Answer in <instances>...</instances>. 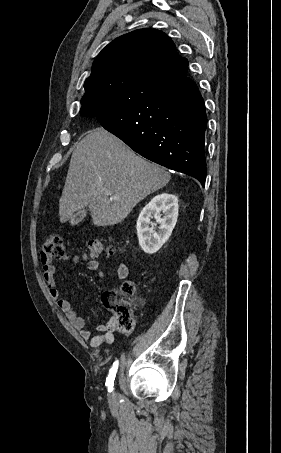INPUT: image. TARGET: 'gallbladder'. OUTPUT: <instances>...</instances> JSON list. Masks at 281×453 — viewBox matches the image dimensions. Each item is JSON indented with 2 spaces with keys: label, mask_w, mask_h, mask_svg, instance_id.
Masks as SVG:
<instances>
[{
  "label": "gallbladder",
  "mask_w": 281,
  "mask_h": 453,
  "mask_svg": "<svg viewBox=\"0 0 281 453\" xmlns=\"http://www.w3.org/2000/svg\"><path fill=\"white\" fill-rule=\"evenodd\" d=\"M84 216H86V210H80V212H77V214H74L72 220H71V226L75 227L78 225V223L80 222V220H82V218H84Z\"/></svg>",
  "instance_id": "bac80fb5"
}]
</instances>
